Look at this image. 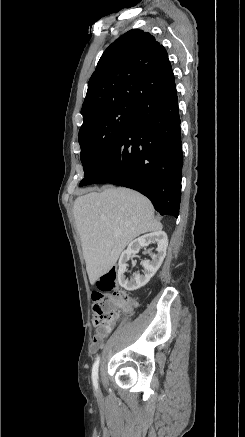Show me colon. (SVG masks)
Here are the masks:
<instances>
[{
	"mask_svg": "<svg viewBox=\"0 0 245 437\" xmlns=\"http://www.w3.org/2000/svg\"><path fill=\"white\" fill-rule=\"evenodd\" d=\"M96 336H105L118 317V307L134 308L138 302L117 289V270L110 269L97 281L92 292Z\"/></svg>",
	"mask_w": 245,
	"mask_h": 437,
	"instance_id": "colon-1",
	"label": "colon"
}]
</instances>
